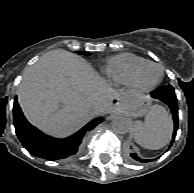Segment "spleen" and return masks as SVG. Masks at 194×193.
Segmentation results:
<instances>
[{
	"instance_id": "spleen-1",
	"label": "spleen",
	"mask_w": 194,
	"mask_h": 193,
	"mask_svg": "<svg viewBox=\"0 0 194 193\" xmlns=\"http://www.w3.org/2000/svg\"><path fill=\"white\" fill-rule=\"evenodd\" d=\"M133 135L140 146L157 150L169 143L172 135V118L160 105H153L145 116L144 122L136 121Z\"/></svg>"
}]
</instances>
